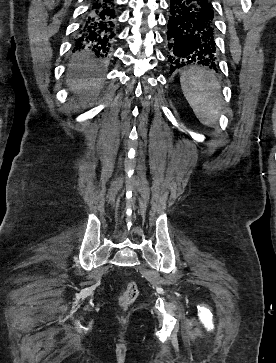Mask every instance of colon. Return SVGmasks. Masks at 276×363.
Returning <instances> with one entry per match:
<instances>
[{
    "label": "colon",
    "mask_w": 276,
    "mask_h": 363,
    "mask_svg": "<svg viewBox=\"0 0 276 363\" xmlns=\"http://www.w3.org/2000/svg\"><path fill=\"white\" fill-rule=\"evenodd\" d=\"M137 296H138L137 284L134 281H129L126 284V286L120 296V305L123 308L128 307L136 300Z\"/></svg>",
    "instance_id": "obj_1"
}]
</instances>
